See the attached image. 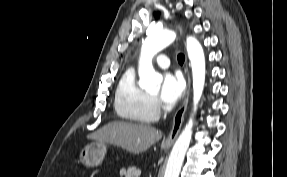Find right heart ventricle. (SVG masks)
I'll list each match as a JSON object with an SVG mask.
<instances>
[{
  "label": "right heart ventricle",
  "mask_w": 287,
  "mask_h": 177,
  "mask_svg": "<svg viewBox=\"0 0 287 177\" xmlns=\"http://www.w3.org/2000/svg\"><path fill=\"white\" fill-rule=\"evenodd\" d=\"M119 118L135 123H151L157 119L150 96L138 85L135 72L128 69L121 77L114 98Z\"/></svg>",
  "instance_id": "right-heart-ventricle-1"
}]
</instances>
